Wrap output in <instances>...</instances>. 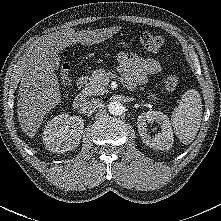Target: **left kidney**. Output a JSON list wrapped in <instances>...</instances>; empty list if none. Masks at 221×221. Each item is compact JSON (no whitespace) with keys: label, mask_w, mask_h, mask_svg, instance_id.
Here are the masks:
<instances>
[{"label":"left kidney","mask_w":221,"mask_h":221,"mask_svg":"<svg viewBox=\"0 0 221 221\" xmlns=\"http://www.w3.org/2000/svg\"><path fill=\"white\" fill-rule=\"evenodd\" d=\"M157 122L161 131L151 136L147 131L146 124ZM137 126L143 142L151 148L168 150L173 144V130L167 115L159 111H149L138 116Z\"/></svg>","instance_id":"left-kidney-1"}]
</instances>
